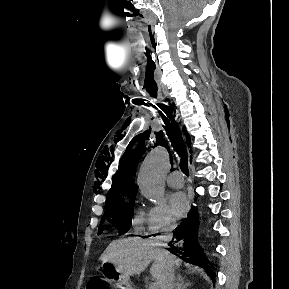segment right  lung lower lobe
I'll return each instance as SVG.
<instances>
[{"label": "right lung lower lobe", "mask_w": 289, "mask_h": 289, "mask_svg": "<svg viewBox=\"0 0 289 289\" xmlns=\"http://www.w3.org/2000/svg\"><path fill=\"white\" fill-rule=\"evenodd\" d=\"M197 223L198 215L195 209H192L188 214V217L183 220L179 227H177L175 238L169 243V246L171 247L170 250L175 255L179 254L182 260L203 267L214 282L215 273H213L210 268L212 264L209 262L210 266L208 265V260L196 241L195 230Z\"/></svg>", "instance_id": "1"}]
</instances>
